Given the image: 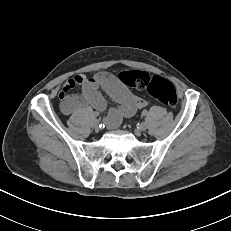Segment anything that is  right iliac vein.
I'll use <instances>...</instances> for the list:
<instances>
[{
    "mask_svg": "<svg viewBox=\"0 0 231 231\" xmlns=\"http://www.w3.org/2000/svg\"><path fill=\"white\" fill-rule=\"evenodd\" d=\"M93 126H94L95 129H97V130L99 129V121L97 119H95L93 121Z\"/></svg>",
    "mask_w": 231,
    "mask_h": 231,
    "instance_id": "63e3f726",
    "label": "right iliac vein"
}]
</instances>
